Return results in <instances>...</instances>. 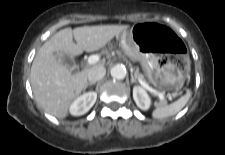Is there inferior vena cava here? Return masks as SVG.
Here are the masks:
<instances>
[{
  "label": "inferior vena cava",
  "instance_id": "obj_1",
  "mask_svg": "<svg viewBox=\"0 0 225 155\" xmlns=\"http://www.w3.org/2000/svg\"><path fill=\"white\" fill-rule=\"evenodd\" d=\"M106 74L104 66H95L91 68L87 74V78L90 82H96L102 79Z\"/></svg>",
  "mask_w": 225,
  "mask_h": 155
}]
</instances>
